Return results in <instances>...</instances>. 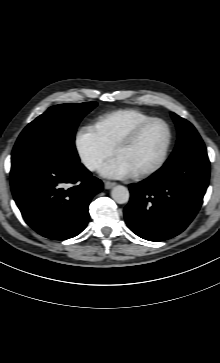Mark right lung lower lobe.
<instances>
[{"label":"right lung lower lobe","mask_w":220,"mask_h":363,"mask_svg":"<svg viewBox=\"0 0 220 363\" xmlns=\"http://www.w3.org/2000/svg\"><path fill=\"white\" fill-rule=\"evenodd\" d=\"M14 200L26 223L54 240L75 237L88 222V207L103 189L101 180L79 162L54 157L28 159L11 168ZM65 184H75L66 189Z\"/></svg>","instance_id":"obj_1"}]
</instances>
